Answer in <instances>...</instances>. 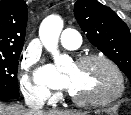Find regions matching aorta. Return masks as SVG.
<instances>
[{
  "label": "aorta",
  "mask_w": 131,
  "mask_h": 115,
  "mask_svg": "<svg viewBox=\"0 0 131 115\" xmlns=\"http://www.w3.org/2000/svg\"><path fill=\"white\" fill-rule=\"evenodd\" d=\"M63 28V21L59 16L51 15L43 20L39 29L40 39L45 48L51 52L58 70L63 69L65 57L58 51L59 36Z\"/></svg>",
  "instance_id": "aorta-1"
}]
</instances>
